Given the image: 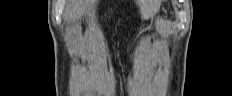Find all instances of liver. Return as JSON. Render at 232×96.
<instances>
[{
  "mask_svg": "<svg viewBox=\"0 0 232 96\" xmlns=\"http://www.w3.org/2000/svg\"><path fill=\"white\" fill-rule=\"evenodd\" d=\"M71 7L73 10L80 11L81 13L86 8V5L91 2L90 0H71ZM137 3L140 6L141 14L143 18H147L152 15L158 9V1L156 0H138Z\"/></svg>",
  "mask_w": 232,
  "mask_h": 96,
  "instance_id": "liver-1",
  "label": "liver"
}]
</instances>
